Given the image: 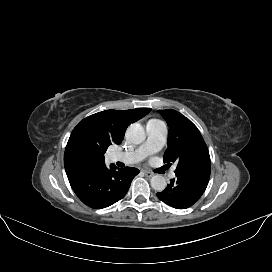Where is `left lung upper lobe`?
<instances>
[{
  "label": "left lung upper lobe",
  "mask_w": 272,
  "mask_h": 272,
  "mask_svg": "<svg viewBox=\"0 0 272 272\" xmlns=\"http://www.w3.org/2000/svg\"><path fill=\"white\" fill-rule=\"evenodd\" d=\"M159 113L169 126L164 162H176V174L210 171L209 151L197 127L178 111L167 109Z\"/></svg>",
  "instance_id": "left-lung-upper-lobe-1"
}]
</instances>
